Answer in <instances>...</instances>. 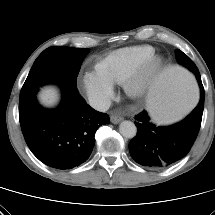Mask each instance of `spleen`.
Masks as SVG:
<instances>
[{
  "label": "spleen",
  "instance_id": "spleen-1",
  "mask_svg": "<svg viewBox=\"0 0 215 215\" xmlns=\"http://www.w3.org/2000/svg\"><path fill=\"white\" fill-rule=\"evenodd\" d=\"M200 100L197 78L181 67L165 69L156 79L148 96V108L159 123L181 118Z\"/></svg>",
  "mask_w": 215,
  "mask_h": 215
}]
</instances>
